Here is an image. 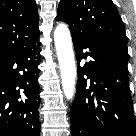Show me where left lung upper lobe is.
Segmentation results:
<instances>
[{
    "label": "left lung upper lobe",
    "mask_w": 136,
    "mask_h": 136,
    "mask_svg": "<svg viewBox=\"0 0 136 136\" xmlns=\"http://www.w3.org/2000/svg\"><path fill=\"white\" fill-rule=\"evenodd\" d=\"M57 20L69 24L72 37L104 43L127 55L123 22L111 0H60Z\"/></svg>",
    "instance_id": "1"
}]
</instances>
